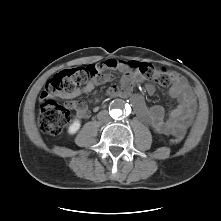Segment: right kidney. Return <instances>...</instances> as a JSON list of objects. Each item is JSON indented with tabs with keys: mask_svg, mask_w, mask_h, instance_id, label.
I'll list each match as a JSON object with an SVG mask.
<instances>
[{
	"mask_svg": "<svg viewBox=\"0 0 221 221\" xmlns=\"http://www.w3.org/2000/svg\"><path fill=\"white\" fill-rule=\"evenodd\" d=\"M80 126V120L75 119L68 127V133L71 135L75 134L80 129Z\"/></svg>",
	"mask_w": 221,
	"mask_h": 221,
	"instance_id": "1",
	"label": "right kidney"
}]
</instances>
